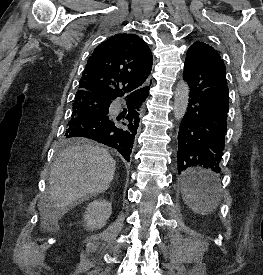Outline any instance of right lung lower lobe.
Listing matches in <instances>:
<instances>
[{"instance_id": "right-lung-lower-lobe-1", "label": "right lung lower lobe", "mask_w": 263, "mask_h": 275, "mask_svg": "<svg viewBox=\"0 0 263 275\" xmlns=\"http://www.w3.org/2000/svg\"><path fill=\"white\" fill-rule=\"evenodd\" d=\"M148 94L149 87H144L128 97L129 113L124 117L125 122H118L123 117L115 118L109 112L85 115L69 123L65 135L85 137L105 144L116 149L129 162L139 122L136 109Z\"/></svg>"}]
</instances>
